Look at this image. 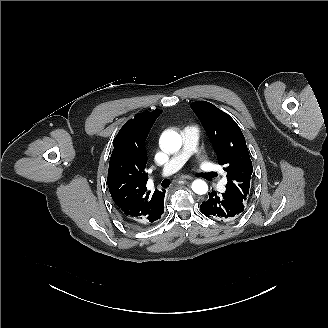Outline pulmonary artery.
<instances>
[{
  "label": "pulmonary artery",
  "mask_w": 328,
  "mask_h": 328,
  "mask_svg": "<svg viewBox=\"0 0 328 328\" xmlns=\"http://www.w3.org/2000/svg\"><path fill=\"white\" fill-rule=\"evenodd\" d=\"M181 135L183 137V148L172 156L164 165L162 169L163 176L170 175L177 169L184 168L189 157L193 156L195 153L194 147L198 146L200 143L198 130L191 126H185L181 130Z\"/></svg>",
  "instance_id": "obj_1"
}]
</instances>
